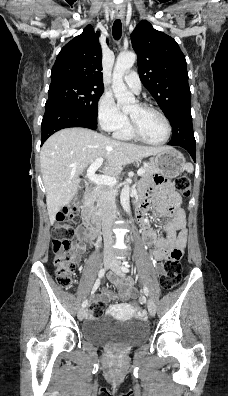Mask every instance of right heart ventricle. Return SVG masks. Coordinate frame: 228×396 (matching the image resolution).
<instances>
[{"label": "right heart ventricle", "instance_id": "e07e8e85", "mask_svg": "<svg viewBox=\"0 0 228 396\" xmlns=\"http://www.w3.org/2000/svg\"><path fill=\"white\" fill-rule=\"evenodd\" d=\"M115 136L123 140H131L134 138L130 132L129 126L123 127L115 132Z\"/></svg>", "mask_w": 228, "mask_h": 396}]
</instances>
